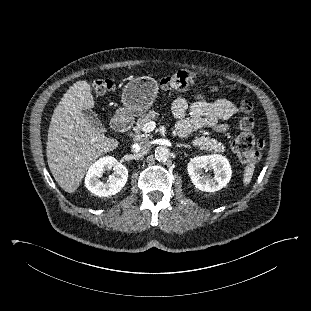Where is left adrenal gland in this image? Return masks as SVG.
I'll return each mask as SVG.
<instances>
[{
  "instance_id": "left-adrenal-gland-1",
  "label": "left adrenal gland",
  "mask_w": 311,
  "mask_h": 311,
  "mask_svg": "<svg viewBox=\"0 0 311 311\" xmlns=\"http://www.w3.org/2000/svg\"><path fill=\"white\" fill-rule=\"evenodd\" d=\"M177 147H184V148H191V146L190 145H187V144H177Z\"/></svg>"
}]
</instances>
